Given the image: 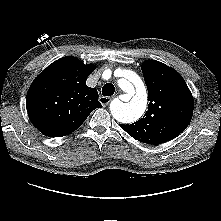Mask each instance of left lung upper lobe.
<instances>
[{"instance_id": "5c2ea615", "label": "left lung upper lobe", "mask_w": 221, "mask_h": 221, "mask_svg": "<svg viewBox=\"0 0 221 221\" xmlns=\"http://www.w3.org/2000/svg\"><path fill=\"white\" fill-rule=\"evenodd\" d=\"M150 101L142 119L120 125L134 139L147 144L167 142L183 132L193 114V97L173 68L146 60L141 66Z\"/></svg>"}]
</instances>
